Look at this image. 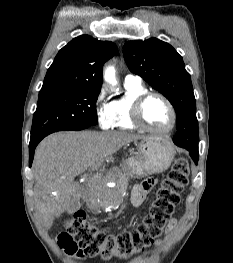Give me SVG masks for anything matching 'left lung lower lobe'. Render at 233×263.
<instances>
[{"instance_id":"1","label":"left lung lower lobe","mask_w":233,"mask_h":263,"mask_svg":"<svg viewBox=\"0 0 233 263\" xmlns=\"http://www.w3.org/2000/svg\"><path fill=\"white\" fill-rule=\"evenodd\" d=\"M177 146L185 148L186 150L189 151L190 156L192 157V159L194 160L195 164L198 163V147L189 143H180L177 142L175 143Z\"/></svg>"}]
</instances>
